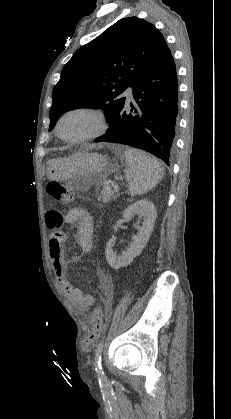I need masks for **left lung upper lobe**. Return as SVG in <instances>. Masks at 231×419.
Returning a JSON list of instances; mask_svg holds the SVG:
<instances>
[{
	"instance_id": "left-lung-upper-lobe-1",
	"label": "left lung upper lobe",
	"mask_w": 231,
	"mask_h": 419,
	"mask_svg": "<svg viewBox=\"0 0 231 419\" xmlns=\"http://www.w3.org/2000/svg\"><path fill=\"white\" fill-rule=\"evenodd\" d=\"M169 51L160 31L137 17L122 18L78 49L53 89L51 131L64 112L103 108L109 122L124 105L120 95Z\"/></svg>"
}]
</instances>
